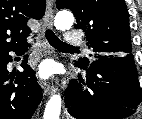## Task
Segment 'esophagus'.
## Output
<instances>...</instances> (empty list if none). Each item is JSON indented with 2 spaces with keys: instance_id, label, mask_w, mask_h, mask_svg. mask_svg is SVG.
Masks as SVG:
<instances>
[{
  "instance_id": "34e87169",
  "label": "esophagus",
  "mask_w": 142,
  "mask_h": 119,
  "mask_svg": "<svg viewBox=\"0 0 142 119\" xmlns=\"http://www.w3.org/2000/svg\"><path fill=\"white\" fill-rule=\"evenodd\" d=\"M53 3L51 0H47L46 3V11L44 16V25L45 27L51 29L53 26ZM44 38V34H43ZM40 86L44 92L45 95H51L55 92V87L51 85L50 83H47L45 81L40 82Z\"/></svg>"
}]
</instances>
